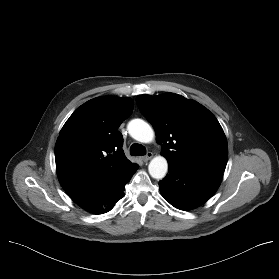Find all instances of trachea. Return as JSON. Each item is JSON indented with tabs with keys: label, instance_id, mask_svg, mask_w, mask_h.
Wrapping results in <instances>:
<instances>
[{
	"label": "trachea",
	"instance_id": "3493384b",
	"mask_svg": "<svg viewBox=\"0 0 279 279\" xmlns=\"http://www.w3.org/2000/svg\"><path fill=\"white\" fill-rule=\"evenodd\" d=\"M130 154L132 156H143L146 154V148L141 144L135 143L130 147Z\"/></svg>",
	"mask_w": 279,
	"mask_h": 279
}]
</instances>
